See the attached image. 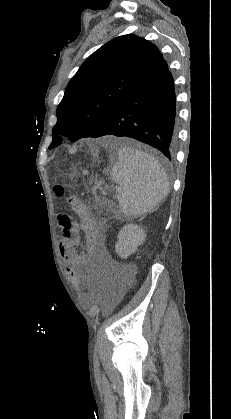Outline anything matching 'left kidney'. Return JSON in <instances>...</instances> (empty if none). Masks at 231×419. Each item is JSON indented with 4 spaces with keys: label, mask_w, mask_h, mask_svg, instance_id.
<instances>
[{
    "label": "left kidney",
    "mask_w": 231,
    "mask_h": 419,
    "mask_svg": "<svg viewBox=\"0 0 231 419\" xmlns=\"http://www.w3.org/2000/svg\"><path fill=\"white\" fill-rule=\"evenodd\" d=\"M146 238L145 230L137 224H126L118 233V241L115 244L116 253L121 258H127L136 252Z\"/></svg>",
    "instance_id": "5707ae66"
}]
</instances>
